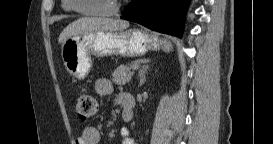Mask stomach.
<instances>
[{
	"label": "stomach",
	"instance_id": "1",
	"mask_svg": "<svg viewBox=\"0 0 273 144\" xmlns=\"http://www.w3.org/2000/svg\"><path fill=\"white\" fill-rule=\"evenodd\" d=\"M162 42L156 35L138 29L127 31H88L69 37L62 44V59L71 76L84 79L91 67V56H142L157 51Z\"/></svg>",
	"mask_w": 273,
	"mask_h": 144
}]
</instances>
